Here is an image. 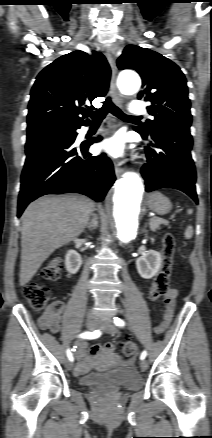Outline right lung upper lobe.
Here are the masks:
<instances>
[{
  "mask_svg": "<svg viewBox=\"0 0 212 438\" xmlns=\"http://www.w3.org/2000/svg\"><path fill=\"white\" fill-rule=\"evenodd\" d=\"M110 75V67L99 52L88 55L77 50L55 60L39 73L32 87L27 131L59 124L84 125L88 121L83 120L84 108L106 95Z\"/></svg>",
  "mask_w": 212,
  "mask_h": 438,
  "instance_id": "cb5924a9",
  "label": "right lung upper lobe"
}]
</instances>
